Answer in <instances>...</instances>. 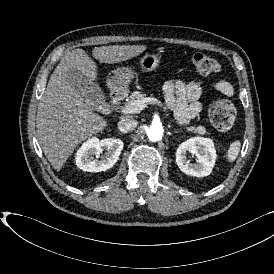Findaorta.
Returning <instances> with one entry per match:
<instances>
[{
  "mask_svg": "<svg viewBox=\"0 0 274 274\" xmlns=\"http://www.w3.org/2000/svg\"><path fill=\"white\" fill-rule=\"evenodd\" d=\"M146 133L150 141L156 142L162 138L164 129L162 124L154 122L148 127Z\"/></svg>",
  "mask_w": 274,
  "mask_h": 274,
  "instance_id": "1",
  "label": "aorta"
}]
</instances>
